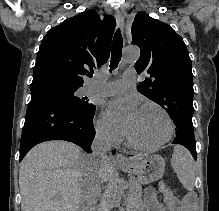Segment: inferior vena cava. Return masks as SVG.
Wrapping results in <instances>:
<instances>
[{
    "label": "inferior vena cava",
    "instance_id": "inferior-vena-cava-1",
    "mask_svg": "<svg viewBox=\"0 0 219 211\" xmlns=\"http://www.w3.org/2000/svg\"><path fill=\"white\" fill-rule=\"evenodd\" d=\"M91 149L93 151L90 155L89 171L91 178L87 179L88 183H82L81 187L78 189V192L81 193L80 202L81 207H84V211H93L95 207V197L96 188H99V183L97 178H94V175H102L104 171V166H106V159L108 157V151L111 149V135L107 131L103 133H98L94 141H92Z\"/></svg>",
    "mask_w": 219,
    "mask_h": 211
}]
</instances>
